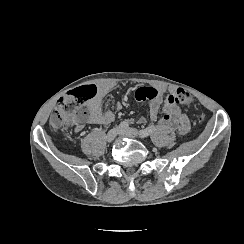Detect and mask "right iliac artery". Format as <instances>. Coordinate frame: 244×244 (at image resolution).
Here are the masks:
<instances>
[{
    "label": "right iliac artery",
    "instance_id": "right-iliac-artery-1",
    "mask_svg": "<svg viewBox=\"0 0 244 244\" xmlns=\"http://www.w3.org/2000/svg\"><path fill=\"white\" fill-rule=\"evenodd\" d=\"M129 127V124L127 121H123L119 124V129L123 130V129H127Z\"/></svg>",
    "mask_w": 244,
    "mask_h": 244
}]
</instances>
